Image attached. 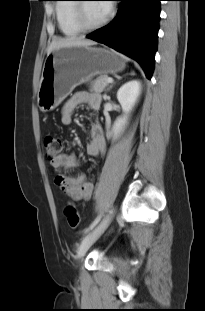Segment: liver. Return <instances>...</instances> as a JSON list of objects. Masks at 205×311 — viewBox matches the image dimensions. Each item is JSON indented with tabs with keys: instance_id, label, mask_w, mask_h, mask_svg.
<instances>
[{
	"instance_id": "1",
	"label": "liver",
	"mask_w": 205,
	"mask_h": 311,
	"mask_svg": "<svg viewBox=\"0 0 205 311\" xmlns=\"http://www.w3.org/2000/svg\"><path fill=\"white\" fill-rule=\"evenodd\" d=\"M96 42L90 39H85L84 37H69L53 40L47 49V54L49 55L56 49L70 46H90L95 45Z\"/></svg>"
}]
</instances>
